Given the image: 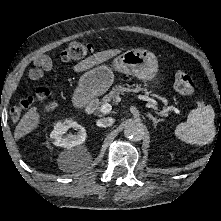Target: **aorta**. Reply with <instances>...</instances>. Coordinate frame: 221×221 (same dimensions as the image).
<instances>
[{
	"instance_id": "1",
	"label": "aorta",
	"mask_w": 221,
	"mask_h": 221,
	"mask_svg": "<svg viewBox=\"0 0 221 221\" xmlns=\"http://www.w3.org/2000/svg\"><path fill=\"white\" fill-rule=\"evenodd\" d=\"M145 129L142 123L133 120H128L125 123L124 135L126 138L139 141L143 138Z\"/></svg>"
}]
</instances>
